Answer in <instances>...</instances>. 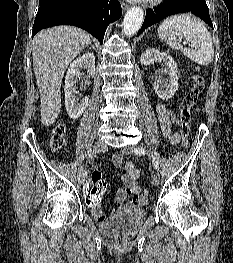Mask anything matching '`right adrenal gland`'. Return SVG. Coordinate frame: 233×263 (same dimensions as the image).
<instances>
[{"instance_id":"2a0ac1e0","label":"right adrenal gland","mask_w":233,"mask_h":263,"mask_svg":"<svg viewBox=\"0 0 233 263\" xmlns=\"http://www.w3.org/2000/svg\"><path fill=\"white\" fill-rule=\"evenodd\" d=\"M90 48L95 49V46L92 44V42H90Z\"/></svg>"}]
</instances>
